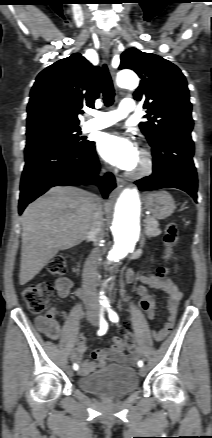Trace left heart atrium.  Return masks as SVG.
<instances>
[{
    "instance_id": "1",
    "label": "left heart atrium",
    "mask_w": 212,
    "mask_h": 438,
    "mask_svg": "<svg viewBox=\"0 0 212 438\" xmlns=\"http://www.w3.org/2000/svg\"><path fill=\"white\" fill-rule=\"evenodd\" d=\"M97 148L105 160L121 169H131L138 159L135 144L118 134L101 135Z\"/></svg>"
}]
</instances>
